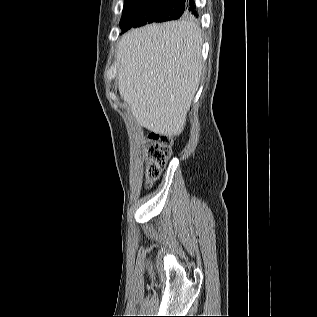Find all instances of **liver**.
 <instances>
[{
    "label": "liver",
    "mask_w": 317,
    "mask_h": 317,
    "mask_svg": "<svg viewBox=\"0 0 317 317\" xmlns=\"http://www.w3.org/2000/svg\"><path fill=\"white\" fill-rule=\"evenodd\" d=\"M202 34L192 20L152 24L125 33L117 48L118 86L138 124L178 136L202 74Z\"/></svg>",
    "instance_id": "6515ba94"
}]
</instances>
